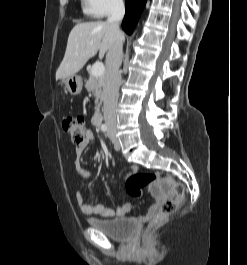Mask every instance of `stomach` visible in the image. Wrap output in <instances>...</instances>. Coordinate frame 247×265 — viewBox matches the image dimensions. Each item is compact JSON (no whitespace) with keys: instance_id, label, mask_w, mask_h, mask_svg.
Masks as SVG:
<instances>
[{"instance_id":"obj_1","label":"stomach","mask_w":247,"mask_h":265,"mask_svg":"<svg viewBox=\"0 0 247 265\" xmlns=\"http://www.w3.org/2000/svg\"><path fill=\"white\" fill-rule=\"evenodd\" d=\"M59 84L65 87L67 91L73 96L80 94L83 86L82 79L78 75L61 78Z\"/></svg>"}]
</instances>
